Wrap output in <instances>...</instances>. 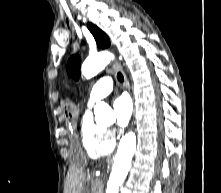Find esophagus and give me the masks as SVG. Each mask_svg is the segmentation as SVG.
Masks as SVG:
<instances>
[{
	"instance_id": "obj_1",
	"label": "esophagus",
	"mask_w": 221,
	"mask_h": 193,
	"mask_svg": "<svg viewBox=\"0 0 221 193\" xmlns=\"http://www.w3.org/2000/svg\"><path fill=\"white\" fill-rule=\"evenodd\" d=\"M113 67L116 69V70H118V71H120L121 73H122V75H123V77H124V86L128 89V91L130 92V86H129V83H128V80H127V77H126V74L124 73V71H123V68H122V66H121V64L119 63V62H117V61H114L113 62ZM131 103L133 104L131 107L134 109L136 106L134 105L136 102V98L135 97H132L131 98ZM131 126H134V123H131Z\"/></svg>"
}]
</instances>
